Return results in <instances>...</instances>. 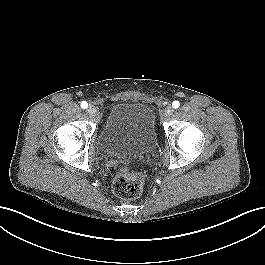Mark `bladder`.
Wrapping results in <instances>:
<instances>
[{"mask_svg": "<svg viewBox=\"0 0 265 265\" xmlns=\"http://www.w3.org/2000/svg\"><path fill=\"white\" fill-rule=\"evenodd\" d=\"M156 115L141 102H118L108 112L98 137L107 156L136 157L150 152L157 143Z\"/></svg>", "mask_w": 265, "mask_h": 265, "instance_id": "bladder-1", "label": "bladder"}]
</instances>
